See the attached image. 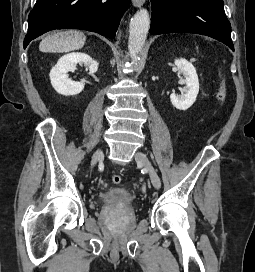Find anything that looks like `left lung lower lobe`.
<instances>
[{
	"label": "left lung lower lobe",
	"mask_w": 255,
	"mask_h": 272,
	"mask_svg": "<svg viewBox=\"0 0 255 272\" xmlns=\"http://www.w3.org/2000/svg\"><path fill=\"white\" fill-rule=\"evenodd\" d=\"M151 5V34L197 33L217 39L234 51L223 0H151Z\"/></svg>",
	"instance_id": "0a47b994"
}]
</instances>
